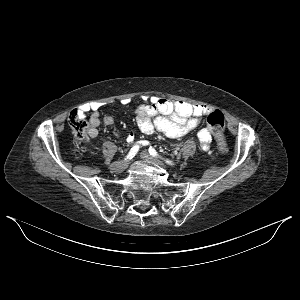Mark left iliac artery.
Returning <instances> with one entry per match:
<instances>
[{"label": "left iliac artery", "mask_w": 300, "mask_h": 300, "mask_svg": "<svg viewBox=\"0 0 300 300\" xmlns=\"http://www.w3.org/2000/svg\"><path fill=\"white\" fill-rule=\"evenodd\" d=\"M149 153H150V155H152L153 157H159V158L163 159L161 156L158 155L157 151H156L153 147H150V148H149ZM164 161H165L167 164H169V165H174V163H173L172 161L168 160V159H165Z\"/></svg>", "instance_id": "left-iliac-artery-1"}]
</instances>
